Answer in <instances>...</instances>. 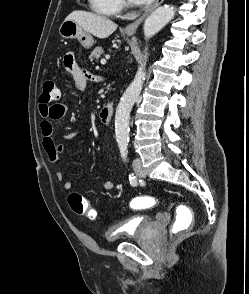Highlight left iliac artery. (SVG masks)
Instances as JSON below:
<instances>
[{
	"label": "left iliac artery",
	"instance_id": "44dca946",
	"mask_svg": "<svg viewBox=\"0 0 249 294\" xmlns=\"http://www.w3.org/2000/svg\"><path fill=\"white\" fill-rule=\"evenodd\" d=\"M120 152H121V157L123 158V160H126L127 154H128V146L127 145H121L120 146ZM129 181H130V184L133 185V186H135L137 184V179L133 174L129 175Z\"/></svg>",
	"mask_w": 249,
	"mask_h": 294
}]
</instances>
